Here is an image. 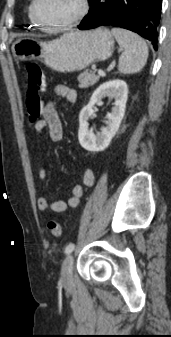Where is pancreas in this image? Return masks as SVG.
Here are the masks:
<instances>
[{
	"mask_svg": "<svg viewBox=\"0 0 171 337\" xmlns=\"http://www.w3.org/2000/svg\"><path fill=\"white\" fill-rule=\"evenodd\" d=\"M99 80V76L95 74L94 71H84L83 73H80L78 76V82L80 88H88L90 86H93L95 83H97Z\"/></svg>",
	"mask_w": 171,
	"mask_h": 337,
	"instance_id": "cf45deb5",
	"label": "pancreas"
}]
</instances>
